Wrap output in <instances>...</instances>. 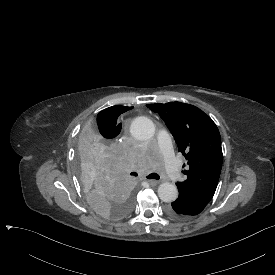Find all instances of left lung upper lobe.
<instances>
[{
	"mask_svg": "<svg viewBox=\"0 0 275 275\" xmlns=\"http://www.w3.org/2000/svg\"><path fill=\"white\" fill-rule=\"evenodd\" d=\"M147 107L165 121L179 151L187 160V170L182 171L186 180L176 184L178 191L192 193L209 203L222 167L221 137L217 126L193 105L169 102L148 104Z\"/></svg>",
	"mask_w": 275,
	"mask_h": 275,
	"instance_id": "left-lung-upper-lobe-1",
	"label": "left lung upper lobe"
}]
</instances>
